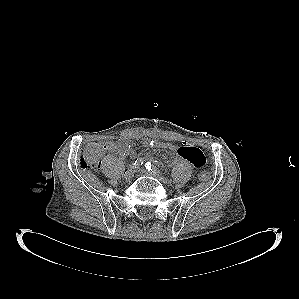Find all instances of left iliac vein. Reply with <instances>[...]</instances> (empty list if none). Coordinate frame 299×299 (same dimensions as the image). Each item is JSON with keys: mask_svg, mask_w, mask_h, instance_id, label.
Segmentation results:
<instances>
[{"mask_svg": "<svg viewBox=\"0 0 299 299\" xmlns=\"http://www.w3.org/2000/svg\"><path fill=\"white\" fill-rule=\"evenodd\" d=\"M139 171H140L141 173L147 175V176L154 177V178L160 180V181L163 182V183H167V182H168V179H167V178L160 176V175H159L158 173H156V172H147L145 169H142V168L139 169Z\"/></svg>", "mask_w": 299, "mask_h": 299, "instance_id": "obj_1", "label": "left iliac vein"}]
</instances>
